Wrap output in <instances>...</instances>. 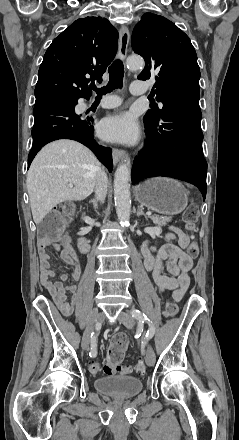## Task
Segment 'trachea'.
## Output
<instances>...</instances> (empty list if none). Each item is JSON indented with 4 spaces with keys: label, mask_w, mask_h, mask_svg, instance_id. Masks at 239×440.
<instances>
[{
    "label": "trachea",
    "mask_w": 239,
    "mask_h": 440,
    "mask_svg": "<svg viewBox=\"0 0 239 440\" xmlns=\"http://www.w3.org/2000/svg\"><path fill=\"white\" fill-rule=\"evenodd\" d=\"M108 72L109 82L106 87L96 88L95 84L90 85L93 90H96L97 99H101L102 95L112 92L115 90V88H121L123 85L124 65L121 60H114V62L108 68Z\"/></svg>",
    "instance_id": "3493384b"
}]
</instances>
